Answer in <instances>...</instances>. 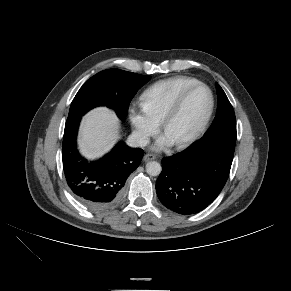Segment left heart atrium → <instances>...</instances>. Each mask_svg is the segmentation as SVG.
Returning a JSON list of instances; mask_svg holds the SVG:
<instances>
[{
  "label": "left heart atrium",
  "mask_w": 291,
  "mask_h": 291,
  "mask_svg": "<svg viewBox=\"0 0 291 291\" xmlns=\"http://www.w3.org/2000/svg\"><path fill=\"white\" fill-rule=\"evenodd\" d=\"M172 144H173V142L167 136H164L156 143L155 148L156 149H163V148L170 146Z\"/></svg>",
  "instance_id": "1"
}]
</instances>
